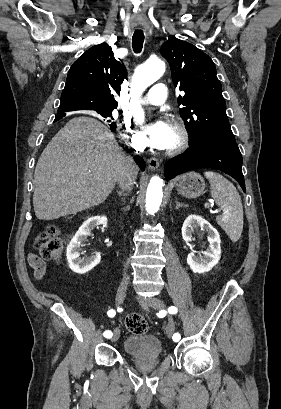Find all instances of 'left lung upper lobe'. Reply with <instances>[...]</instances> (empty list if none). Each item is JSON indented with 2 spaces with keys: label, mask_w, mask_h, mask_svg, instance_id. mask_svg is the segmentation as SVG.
<instances>
[{
  "label": "left lung upper lobe",
  "mask_w": 281,
  "mask_h": 409,
  "mask_svg": "<svg viewBox=\"0 0 281 409\" xmlns=\"http://www.w3.org/2000/svg\"><path fill=\"white\" fill-rule=\"evenodd\" d=\"M161 55L169 62L174 85L185 92L183 97H178V103L184 106L180 108V115L190 141L211 138L235 142L212 59L179 39L166 41Z\"/></svg>",
  "instance_id": "5c2ea615"
}]
</instances>
